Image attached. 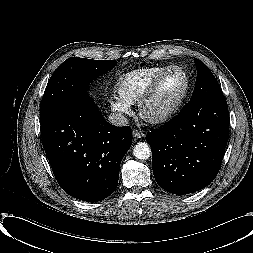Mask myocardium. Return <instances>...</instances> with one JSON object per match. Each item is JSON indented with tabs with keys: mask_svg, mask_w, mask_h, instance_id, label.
<instances>
[{
	"mask_svg": "<svg viewBox=\"0 0 253 253\" xmlns=\"http://www.w3.org/2000/svg\"><path fill=\"white\" fill-rule=\"evenodd\" d=\"M172 71H180L183 74L184 80H185L184 89L171 108L163 112L151 113L149 111V108H150L152 100L154 99L156 95L158 87L161 81L165 78V76ZM189 90H190V78L187 71L180 66H171L167 68L166 70H164L163 72H161L159 75H157L154 78V80L151 82L146 92L140 98L138 102L139 116L144 121L149 122L151 124H161L172 119L182 108L189 94Z\"/></svg>",
	"mask_w": 253,
	"mask_h": 253,
	"instance_id": "1",
	"label": "myocardium"
}]
</instances>
